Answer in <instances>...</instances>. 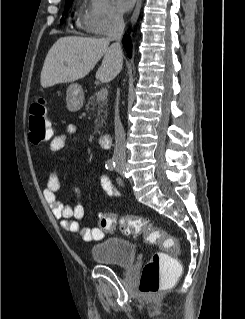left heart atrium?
Segmentation results:
<instances>
[{
  "label": "left heart atrium",
  "instance_id": "39dd6f15",
  "mask_svg": "<svg viewBox=\"0 0 245 319\" xmlns=\"http://www.w3.org/2000/svg\"><path fill=\"white\" fill-rule=\"evenodd\" d=\"M118 8L122 12L129 11L135 3V0H116Z\"/></svg>",
  "mask_w": 245,
  "mask_h": 319
}]
</instances>
